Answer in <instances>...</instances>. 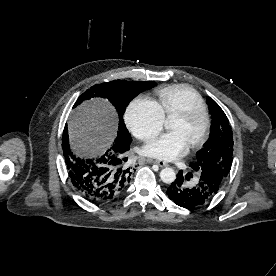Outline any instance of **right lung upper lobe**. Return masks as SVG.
I'll list each match as a JSON object with an SVG mask.
<instances>
[{
  "label": "right lung upper lobe",
  "instance_id": "1",
  "mask_svg": "<svg viewBox=\"0 0 276 276\" xmlns=\"http://www.w3.org/2000/svg\"><path fill=\"white\" fill-rule=\"evenodd\" d=\"M116 143H119V144H120V143H123V142H121V141H116Z\"/></svg>",
  "mask_w": 276,
  "mask_h": 276
}]
</instances>
